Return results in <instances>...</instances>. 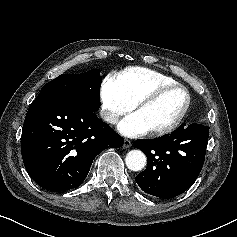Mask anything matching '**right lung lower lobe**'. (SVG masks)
Masks as SVG:
<instances>
[{
    "label": "right lung lower lobe",
    "instance_id": "obj_1",
    "mask_svg": "<svg viewBox=\"0 0 237 237\" xmlns=\"http://www.w3.org/2000/svg\"><path fill=\"white\" fill-rule=\"evenodd\" d=\"M21 152L31 178L51 191L82 184L94 158L124 139L92 111L70 98L39 94L23 124Z\"/></svg>",
    "mask_w": 237,
    "mask_h": 237
}]
</instances>
